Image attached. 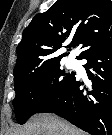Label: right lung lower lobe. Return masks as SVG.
Masks as SVG:
<instances>
[{
	"instance_id": "1",
	"label": "right lung lower lobe",
	"mask_w": 112,
	"mask_h": 135,
	"mask_svg": "<svg viewBox=\"0 0 112 135\" xmlns=\"http://www.w3.org/2000/svg\"><path fill=\"white\" fill-rule=\"evenodd\" d=\"M80 59L87 60L92 85L86 87L74 76L38 113H55L91 135H112V45Z\"/></svg>"
}]
</instances>
